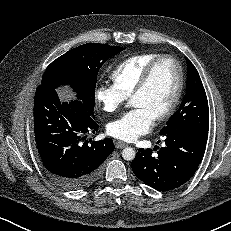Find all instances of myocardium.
I'll return each instance as SVG.
<instances>
[{
    "mask_svg": "<svg viewBox=\"0 0 231 231\" xmlns=\"http://www.w3.org/2000/svg\"><path fill=\"white\" fill-rule=\"evenodd\" d=\"M165 59L171 60L175 64L177 71H178V83H177L176 91L174 93V96H173V99H172L170 105L167 107V109L165 111H163L161 114H159L155 117V119L157 121H163L174 114V112L176 111V109L180 103V100H181V97H182V94L184 91L185 73H184V69H183L181 62L176 57H174L173 55H170V54H162V55H159L158 57H156L154 60H152L148 64V66L145 68L137 86L135 87V89L133 90V92L130 96L132 99L134 96H136V95L140 94L142 91H144V89L146 88V86H147V84L151 78V75H152L153 70L155 69L156 65Z\"/></svg>",
    "mask_w": 231,
    "mask_h": 231,
    "instance_id": "obj_1",
    "label": "myocardium"
}]
</instances>
